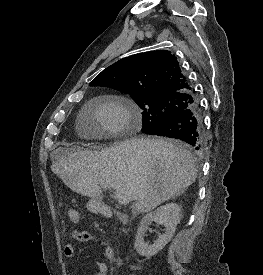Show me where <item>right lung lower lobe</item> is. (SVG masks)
Here are the masks:
<instances>
[{
    "mask_svg": "<svg viewBox=\"0 0 263 275\" xmlns=\"http://www.w3.org/2000/svg\"><path fill=\"white\" fill-rule=\"evenodd\" d=\"M145 133L179 139L188 143L194 150L201 151L203 148V119L198 102L195 100L191 107Z\"/></svg>",
    "mask_w": 263,
    "mask_h": 275,
    "instance_id": "obj_1",
    "label": "right lung lower lobe"
}]
</instances>
